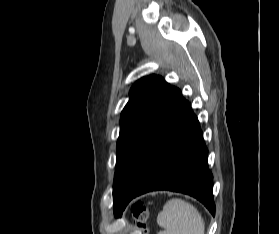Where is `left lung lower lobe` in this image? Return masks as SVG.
I'll list each match as a JSON object with an SVG mask.
<instances>
[{
    "label": "left lung lower lobe",
    "instance_id": "obj_1",
    "mask_svg": "<svg viewBox=\"0 0 279 234\" xmlns=\"http://www.w3.org/2000/svg\"><path fill=\"white\" fill-rule=\"evenodd\" d=\"M197 117L178 88L170 86L135 155L121 192L122 206L153 190L191 195L215 215L213 176Z\"/></svg>",
    "mask_w": 279,
    "mask_h": 234
}]
</instances>
